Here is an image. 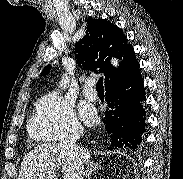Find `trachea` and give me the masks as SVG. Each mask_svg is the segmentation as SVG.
I'll return each instance as SVG.
<instances>
[{"instance_id": "1", "label": "trachea", "mask_w": 183, "mask_h": 179, "mask_svg": "<svg viewBox=\"0 0 183 179\" xmlns=\"http://www.w3.org/2000/svg\"><path fill=\"white\" fill-rule=\"evenodd\" d=\"M97 91H103L104 92V86H103V78H99L97 85H96Z\"/></svg>"}]
</instances>
